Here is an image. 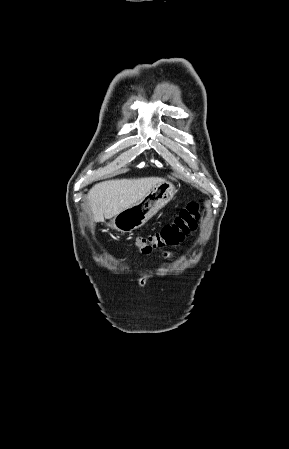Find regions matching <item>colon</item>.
Here are the masks:
<instances>
[{"label": "colon", "instance_id": "1", "mask_svg": "<svg viewBox=\"0 0 289 449\" xmlns=\"http://www.w3.org/2000/svg\"><path fill=\"white\" fill-rule=\"evenodd\" d=\"M199 220V205L195 202L189 203L173 222L163 226L160 231L138 237L136 246L141 253L147 254L156 248L177 245L188 233L196 229Z\"/></svg>", "mask_w": 289, "mask_h": 449}]
</instances>
